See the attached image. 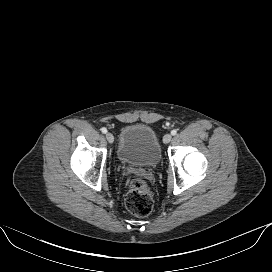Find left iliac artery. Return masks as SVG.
Returning <instances> with one entry per match:
<instances>
[{
    "instance_id": "44dca946",
    "label": "left iliac artery",
    "mask_w": 272,
    "mask_h": 272,
    "mask_svg": "<svg viewBox=\"0 0 272 272\" xmlns=\"http://www.w3.org/2000/svg\"><path fill=\"white\" fill-rule=\"evenodd\" d=\"M176 134H177V130L174 129V130L171 131V135L174 136V135H176Z\"/></svg>"
}]
</instances>
